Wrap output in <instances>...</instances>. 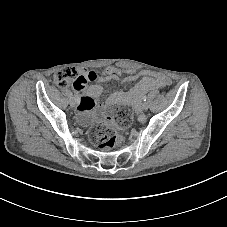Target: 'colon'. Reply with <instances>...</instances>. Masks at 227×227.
<instances>
[{
	"mask_svg": "<svg viewBox=\"0 0 227 227\" xmlns=\"http://www.w3.org/2000/svg\"><path fill=\"white\" fill-rule=\"evenodd\" d=\"M79 75L73 67H65L56 75V81L60 86H66L70 81L78 80ZM132 112L129 107L114 110L113 115L96 125L89 131L90 141L99 149L110 151L118 146L122 139V130L131 121Z\"/></svg>",
	"mask_w": 227,
	"mask_h": 227,
	"instance_id": "colon-1",
	"label": "colon"
}]
</instances>
